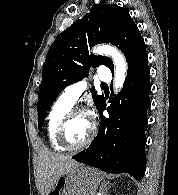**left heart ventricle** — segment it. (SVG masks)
<instances>
[{
    "instance_id": "1",
    "label": "left heart ventricle",
    "mask_w": 178,
    "mask_h": 195,
    "mask_svg": "<svg viewBox=\"0 0 178 195\" xmlns=\"http://www.w3.org/2000/svg\"><path fill=\"white\" fill-rule=\"evenodd\" d=\"M91 131V119L87 115L76 116L68 125L66 140L72 146L82 144Z\"/></svg>"
}]
</instances>
